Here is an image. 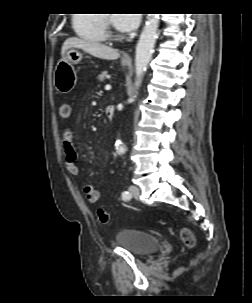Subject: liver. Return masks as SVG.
<instances>
[{
    "mask_svg": "<svg viewBox=\"0 0 252 303\" xmlns=\"http://www.w3.org/2000/svg\"><path fill=\"white\" fill-rule=\"evenodd\" d=\"M70 48L82 49L94 57L105 60H115L120 56L118 50L116 49L99 42L88 41L77 37H70L65 40L61 49L62 56Z\"/></svg>",
    "mask_w": 252,
    "mask_h": 303,
    "instance_id": "1",
    "label": "liver"
}]
</instances>
